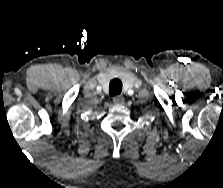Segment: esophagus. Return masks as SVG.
<instances>
[{
  "label": "esophagus",
  "instance_id": "esophagus-1",
  "mask_svg": "<svg viewBox=\"0 0 223 188\" xmlns=\"http://www.w3.org/2000/svg\"><path fill=\"white\" fill-rule=\"evenodd\" d=\"M113 103L114 104H123L124 103V97H122V96H120V95H118V96H115L114 98H113Z\"/></svg>",
  "mask_w": 223,
  "mask_h": 188
}]
</instances>
